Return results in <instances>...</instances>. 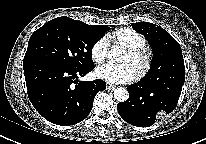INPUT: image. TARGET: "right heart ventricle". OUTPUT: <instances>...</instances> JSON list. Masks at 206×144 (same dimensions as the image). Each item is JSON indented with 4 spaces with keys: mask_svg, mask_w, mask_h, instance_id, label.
<instances>
[{
    "mask_svg": "<svg viewBox=\"0 0 206 144\" xmlns=\"http://www.w3.org/2000/svg\"><path fill=\"white\" fill-rule=\"evenodd\" d=\"M109 39L125 45L127 48H144L145 38L131 28H121L111 33Z\"/></svg>",
    "mask_w": 206,
    "mask_h": 144,
    "instance_id": "right-heart-ventricle-1",
    "label": "right heart ventricle"
}]
</instances>
